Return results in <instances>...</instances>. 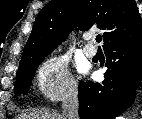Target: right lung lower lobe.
<instances>
[{"label": "right lung lower lobe", "instance_id": "98d812e1", "mask_svg": "<svg viewBox=\"0 0 142 119\" xmlns=\"http://www.w3.org/2000/svg\"><path fill=\"white\" fill-rule=\"evenodd\" d=\"M108 70L102 84H79L81 119H115L134 100L132 87L142 79V31L104 47Z\"/></svg>", "mask_w": 142, "mask_h": 119}]
</instances>
